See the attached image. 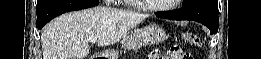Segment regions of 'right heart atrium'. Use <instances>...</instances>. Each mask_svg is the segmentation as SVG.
<instances>
[{
  "label": "right heart atrium",
  "instance_id": "1",
  "mask_svg": "<svg viewBox=\"0 0 261 59\" xmlns=\"http://www.w3.org/2000/svg\"><path fill=\"white\" fill-rule=\"evenodd\" d=\"M105 2H106L107 4H109V3H114L115 0H106Z\"/></svg>",
  "mask_w": 261,
  "mask_h": 59
}]
</instances>
